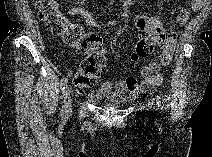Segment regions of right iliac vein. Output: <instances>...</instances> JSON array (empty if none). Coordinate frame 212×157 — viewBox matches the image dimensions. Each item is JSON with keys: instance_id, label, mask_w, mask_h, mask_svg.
I'll return each instance as SVG.
<instances>
[{"instance_id": "1", "label": "right iliac vein", "mask_w": 212, "mask_h": 157, "mask_svg": "<svg viewBox=\"0 0 212 157\" xmlns=\"http://www.w3.org/2000/svg\"><path fill=\"white\" fill-rule=\"evenodd\" d=\"M63 101H64V112L66 114H69L72 109V104H71L70 92L68 88H66L63 92Z\"/></svg>"}]
</instances>
